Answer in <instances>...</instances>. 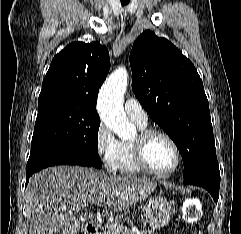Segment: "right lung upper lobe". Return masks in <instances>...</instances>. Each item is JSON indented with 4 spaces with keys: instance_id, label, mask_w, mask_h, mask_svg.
I'll return each mask as SVG.
<instances>
[{
    "instance_id": "obj_1",
    "label": "right lung upper lobe",
    "mask_w": 241,
    "mask_h": 234,
    "mask_svg": "<svg viewBox=\"0 0 241 234\" xmlns=\"http://www.w3.org/2000/svg\"><path fill=\"white\" fill-rule=\"evenodd\" d=\"M109 68L108 50L100 43L69 44L51 62L38 107L68 105L97 113L96 97Z\"/></svg>"
}]
</instances>
